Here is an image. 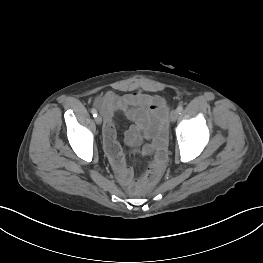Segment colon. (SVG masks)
Instances as JSON below:
<instances>
[{
	"instance_id": "5ec220e1",
	"label": "colon",
	"mask_w": 263,
	"mask_h": 263,
	"mask_svg": "<svg viewBox=\"0 0 263 263\" xmlns=\"http://www.w3.org/2000/svg\"><path fill=\"white\" fill-rule=\"evenodd\" d=\"M159 174H160V170L158 168H149L145 177L142 180L138 181L136 185L133 187V191H136L141 187L156 181Z\"/></svg>"
}]
</instances>
